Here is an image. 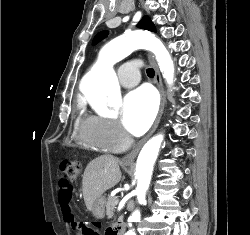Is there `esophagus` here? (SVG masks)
Masks as SVG:
<instances>
[{
  "instance_id": "1",
  "label": "esophagus",
  "mask_w": 250,
  "mask_h": 235,
  "mask_svg": "<svg viewBox=\"0 0 250 235\" xmlns=\"http://www.w3.org/2000/svg\"><path fill=\"white\" fill-rule=\"evenodd\" d=\"M148 60L155 70V83H156V85L159 89V92H160L159 111H158L157 117H156L154 124H153L152 128L150 129L149 133L141 141H139V143L132 149V151L130 153H128L127 155H125L123 157L122 162L127 163V164L134 162V160H135L136 156L138 155L140 149L142 148L143 144L155 132V130L157 129V127L159 125V122L161 120V117H162V114L164 111L166 98H165V92H164V88H163V84H162L160 71H159V68L156 64V61L152 55H150V54L148 55Z\"/></svg>"
}]
</instances>
